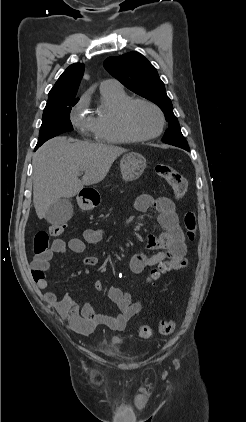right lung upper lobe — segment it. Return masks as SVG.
Returning a JSON list of instances; mask_svg holds the SVG:
<instances>
[{
  "label": "right lung upper lobe",
  "mask_w": 246,
  "mask_h": 422,
  "mask_svg": "<svg viewBox=\"0 0 246 422\" xmlns=\"http://www.w3.org/2000/svg\"><path fill=\"white\" fill-rule=\"evenodd\" d=\"M83 73L84 65L82 63L70 65L50 90L46 106H53L67 101H78L79 99L75 98V96Z\"/></svg>",
  "instance_id": "obj_1"
}]
</instances>
